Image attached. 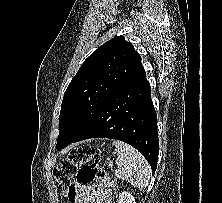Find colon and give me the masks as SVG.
<instances>
[{
  "label": "colon",
  "mask_w": 222,
  "mask_h": 203,
  "mask_svg": "<svg viewBox=\"0 0 222 203\" xmlns=\"http://www.w3.org/2000/svg\"><path fill=\"white\" fill-rule=\"evenodd\" d=\"M54 176L63 187L70 186L73 178L84 185L100 182L107 186H114L100 167V159L91 145H81L72 149L54 169Z\"/></svg>",
  "instance_id": "5ec220e1"
}]
</instances>
